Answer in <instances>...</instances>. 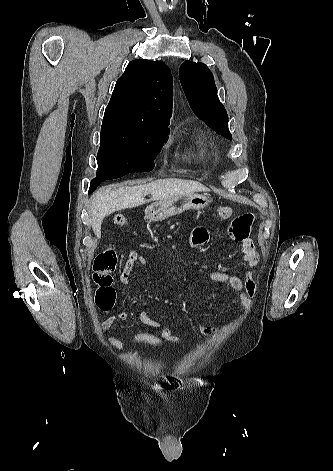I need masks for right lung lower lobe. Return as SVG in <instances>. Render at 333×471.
<instances>
[{"instance_id": "obj_1", "label": "right lung lower lobe", "mask_w": 333, "mask_h": 471, "mask_svg": "<svg viewBox=\"0 0 333 471\" xmlns=\"http://www.w3.org/2000/svg\"><path fill=\"white\" fill-rule=\"evenodd\" d=\"M102 181H104V180H101V179H93V180L91 181V184H90V188H89V192H88V193L90 194L91 192H93V191L97 188V186H98Z\"/></svg>"}]
</instances>
